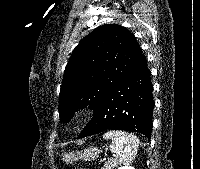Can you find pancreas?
I'll return each mask as SVG.
<instances>
[{
  "label": "pancreas",
  "mask_w": 200,
  "mask_h": 169,
  "mask_svg": "<svg viewBox=\"0 0 200 169\" xmlns=\"http://www.w3.org/2000/svg\"><path fill=\"white\" fill-rule=\"evenodd\" d=\"M117 164V159L109 160L104 164V167L102 169H113L115 166H117Z\"/></svg>",
  "instance_id": "cf45deb5"
}]
</instances>
